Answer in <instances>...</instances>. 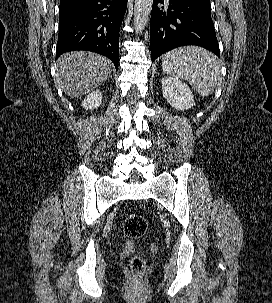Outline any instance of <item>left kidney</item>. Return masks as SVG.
<instances>
[{"instance_id": "obj_1", "label": "left kidney", "mask_w": 272, "mask_h": 303, "mask_svg": "<svg viewBox=\"0 0 272 303\" xmlns=\"http://www.w3.org/2000/svg\"><path fill=\"white\" fill-rule=\"evenodd\" d=\"M161 85L164 98L173 108L184 111L195 105L191 89L186 83L165 76L161 79Z\"/></svg>"}]
</instances>
